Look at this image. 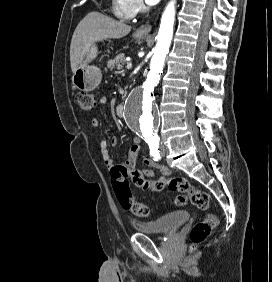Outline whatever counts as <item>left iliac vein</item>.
I'll list each match as a JSON object with an SVG mask.
<instances>
[{"label":"left iliac vein","instance_id":"4c4485c4","mask_svg":"<svg viewBox=\"0 0 272 282\" xmlns=\"http://www.w3.org/2000/svg\"><path fill=\"white\" fill-rule=\"evenodd\" d=\"M160 152H161V155H162V156H164L165 153H166V146H165L164 143H161Z\"/></svg>","mask_w":272,"mask_h":282}]
</instances>
